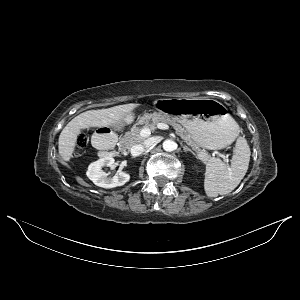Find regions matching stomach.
I'll return each mask as SVG.
<instances>
[{
	"instance_id": "0dacf381",
	"label": "stomach",
	"mask_w": 300,
	"mask_h": 300,
	"mask_svg": "<svg viewBox=\"0 0 300 300\" xmlns=\"http://www.w3.org/2000/svg\"><path fill=\"white\" fill-rule=\"evenodd\" d=\"M158 112L148 114L170 115L178 118L191 138L201 147L219 150L230 145L239 132L235 120L227 108L214 99H161L155 103ZM132 112L126 114L117 125L130 124Z\"/></svg>"
}]
</instances>
